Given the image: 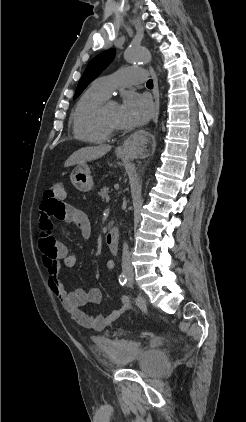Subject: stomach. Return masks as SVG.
I'll return each mask as SVG.
<instances>
[{"mask_svg": "<svg viewBox=\"0 0 246 422\" xmlns=\"http://www.w3.org/2000/svg\"><path fill=\"white\" fill-rule=\"evenodd\" d=\"M70 179L73 186L81 192H88L93 188L91 171L85 163L77 166L73 170Z\"/></svg>", "mask_w": 246, "mask_h": 422, "instance_id": "0dacf381", "label": "stomach"}]
</instances>
